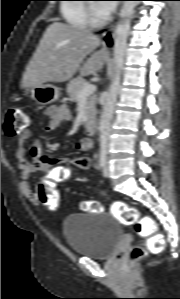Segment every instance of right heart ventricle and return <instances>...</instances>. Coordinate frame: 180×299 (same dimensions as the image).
<instances>
[{"mask_svg":"<svg viewBox=\"0 0 180 299\" xmlns=\"http://www.w3.org/2000/svg\"><path fill=\"white\" fill-rule=\"evenodd\" d=\"M68 2H77L83 0H66ZM65 21L76 28H88L89 22L88 6L77 3H64L61 7Z\"/></svg>","mask_w":180,"mask_h":299,"instance_id":"obj_1","label":"right heart ventricle"}]
</instances>
